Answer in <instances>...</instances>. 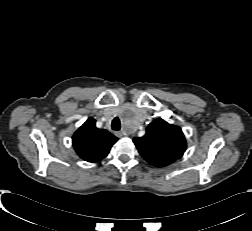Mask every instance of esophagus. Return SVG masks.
Masks as SVG:
<instances>
[{
    "label": "esophagus",
    "instance_id": "esophagus-1",
    "mask_svg": "<svg viewBox=\"0 0 252 231\" xmlns=\"http://www.w3.org/2000/svg\"><path fill=\"white\" fill-rule=\"evenodd\" d=\"M124 135H125V133L123 131L116 132L117 137H123Z\"/></svg>",
    "mask_w": 252,
    "mask_h": 231
}]
</instances>
